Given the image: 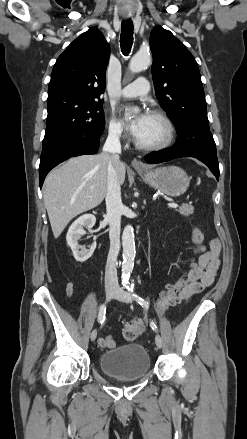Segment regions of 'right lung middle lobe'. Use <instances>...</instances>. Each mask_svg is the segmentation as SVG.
I'll list each match as a JSON object with an SVG mask.
<instances>
[{"label":"right lung middle lobe","instance_id":"obj_1","mask_svg":"<svg viewBox=\"0 0 247 439\" xmlns=\"http://www.w3.org/2000/svg\"><path fill=\"white\" fill-rule=\"evenodd\" d=\"M105 127L101 101L66 100L48 106L43 147L78 137L100 136Z\"/></svg>","mask_w":247,"mask_h":439}]
</instances>
